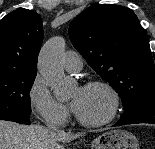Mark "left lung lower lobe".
<instances>
[{"label":"left lung lower lobe","mask_w":155,"mask_h":149,"mask_svg":"<svg viewBox=\"0 0 155 149\" xmlns=\"http://www.w3.org/2000/svg\"><path fill=\"white\" fill-rule=\"evenodd\" d=\"M138 123L155 124V96H151L140 107L130 111H125L120 120L113 126Z\"/></svg>","instance_id":"0a47b994"}]
</instances>
